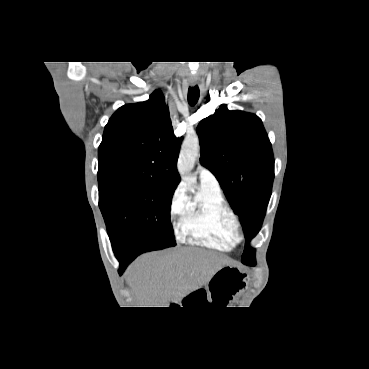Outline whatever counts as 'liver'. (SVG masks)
<instances>
[{
    "label": "liver",
    "instance_id": "6515ba94",
    "mask_svg": "<svg viewBox=\"0 0 369 369\" xmlns=\"http://www.w3.org/2000/svg\"><path fill=\"white\" fill-rule=\"evenodd\" d=\"M226 263L217 253L185 247L173 251L147 253L126 271L139 307H168L191 291L208 283Z\"/></svg>",
    "mask_w": 369,
    "mask_h": 369
}]
</instances>
